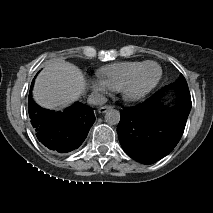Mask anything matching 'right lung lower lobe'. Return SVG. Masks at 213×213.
Returning a JSON list of instances; mask_svg holds the SVG:
<instances>
[{"label":"right lung lower lobe","mask_w":213,"mask_h":213,"mask_svg":"<svg viewBox=\"0 0 213 213\" xmlns=\"http://www.w3.org/2000/svg\"><path fill=\"white\" fill-rule=\"evenodd\" d=\"M29 93V116L39 141L51 150L67 153L78 148L95 121L93 109L76 103L63 112H55L37 105Z\"/></svg>","instance_id":"obj_1"}]
</instances>
